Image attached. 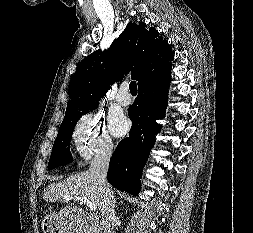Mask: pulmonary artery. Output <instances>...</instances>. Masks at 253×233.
Masks as SVG:
<instances>
[{"instance_id": "e3ab8cb5", "label": "pulmonary artery", "mask_w": 253, "mask_h": 233, "mask_svg": "<svg viewBox=\"0 0 253 233\" xmlns=\"http://www.w3.org/2000/svg\"><path fill=\"white\" fill-rule=\"evenodd\" d=\"M116 101L121 106H128L131 103V97L128 94V87L127 85H122L119 93L116 96Z\"/></svg>"}]
</instances>
